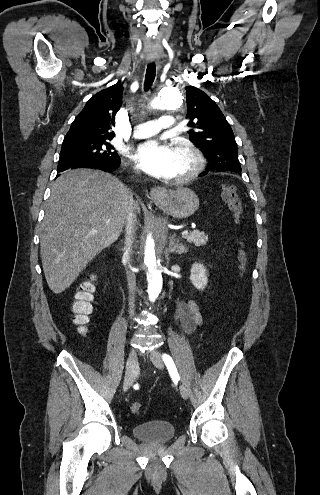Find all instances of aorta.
Here are the masks:
<instances>
[{"mask_svg":"<svg viewBox=\"0 0 320 495\" xmlns=\"http://www.w3.org/2000/svg\"><path fill=\"white\" fill-rule=\"evenodd\" d=\"M182 104L181 94L172 88L162 90L159 95L150 102V107L155 110H173ZM167 242L166 226L163 221L155 220L148 228L143 246L142 265L147 270L148 294L150 301L154 302L162 290V274L159 259L161 250Z\"/></svg>","mask_w":320,"mask_h":495,"instance_id":"obj_1","label":"aorta"}]
</instances>
